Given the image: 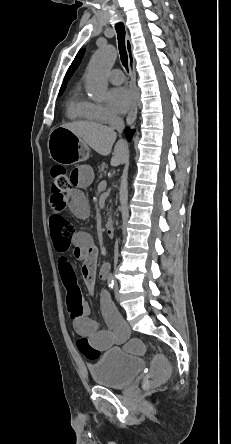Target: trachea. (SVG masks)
<instances>
[{
  "label": "trachea",
  "instance_id": "trachea-1",
  "mask_svg": "<svg viewBox=\"0 0 231 444\" xmlns=\"http://www.w3.org/2000/svg\"><path fill=\"white\" fill-rule=\"evenodd\" d=\"M115 29H116L117 37H118V47H119L121 62L123 64V66L125 67V69L128 71V55H127L126 44H125L126 31H125L124 24L121 22L117 23L115 25Z\"/></svg>",
  "mask_w": 231,
  "mask_h": 444
}]
</instances>
